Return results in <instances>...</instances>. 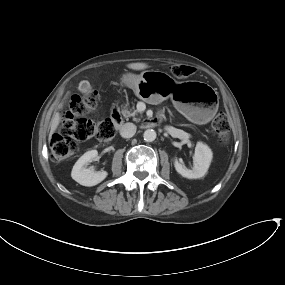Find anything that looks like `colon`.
<instances>
[{
	"label": "colon",
	"mask_w": 285,
	"mask_h": 285,
	"mask_svg": "<svg viewBox=\"0 0 285 285\" xmlns=\"http://www.w3.org/2000/svg\"><path fill=\"white\" fill-rule=\"evenodd\" d=\"M195 69L187 65H174L171 74L177 79L191 77ZM96 105V95L91 94L87 100L73 95L69 109L62 114V123L58 133L50 141L51 155L55 161H64L73 156L78 150V144L92 137L103 143L110 142L116 133V124L111 119L95 123L85 115L89 107ZM212 130L220 143L230 139V125L228 117L221 113L212 122Z\"/></svg>",
	"instance_id": "colon-1"
}]
</instances>
